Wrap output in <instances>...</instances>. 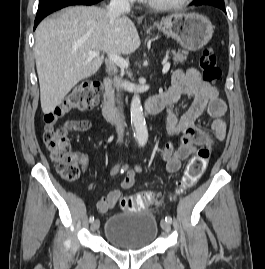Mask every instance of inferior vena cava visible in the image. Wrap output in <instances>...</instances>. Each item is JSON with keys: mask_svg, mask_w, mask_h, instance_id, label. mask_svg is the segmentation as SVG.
I'll return each mask as SVG.
<instances>
[{"mask_svg": "<svg viewBox=\"0 0 265 269\" xmlns=\"http://www.w3.org/2000/svg\"><path fill=\"white\" fill-rule=\"evenodd\" d=\"M130 12V4L128 0H111L110 4L107 6V16L109 22L113 24L117 18H119L124 13ZM116 85L119 84L118 78L114 77ZM124 126L122 112L119 113L117 122H116V133H117V142L121 143L124 137Z\"/></svg>", "mask_w": 265, "mask_h": 269, "instance_id": "obj_1", "label": "inferior vena cava"}]
</instances>
